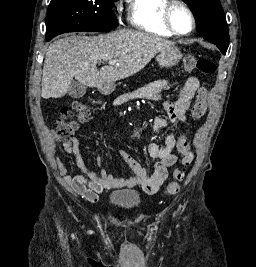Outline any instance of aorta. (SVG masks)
Returning a JSON list of instances; mask_svg holds the SVG:
<instances>
[{"mask_svg":"<svg viewBox=\"0 0 256 267\" xmlns=\"http://www.w3.org/2000/svg\"><path fill=\"white\" fill-rule=\"evenodd\" d=\"M145 128H136V133H133V138H144Z\"/></svg>","mask_w":256,"mask_h":267,"instance_id":"762f6f07","label":"aorta"}]
</instances>
